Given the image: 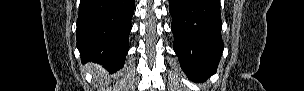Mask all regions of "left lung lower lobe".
<instances>
[{
	"label": "left lung lower lobe",
	"instance_id": "1",
	"mask_svg": "<svg viewBox=\"0 0 304 91\" xmlns=\"http://www.w3.org/2000/svg\"><path fill=\"white\" fill-rule=\"evenodd\" d=\"M173 49L191 80L216 73L224 44L220 0H169Z\"/></svg>",
	"mask_w": 304,
	"mask_h": 91
}]
</instances>
